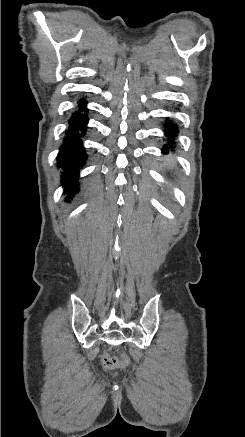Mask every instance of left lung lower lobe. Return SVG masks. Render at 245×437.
Segmentation results:
<instances>
[{"label":"left lung lower lobe","mask_w":245,"mask_h":437,"mask_svg":"<svg viewBox=\"0 0 245 437\" xmlns=\"http://www.w3.org/2000/svg\"><path fill=\"white\" fill-rule=\"evenodd\" d=\"M177 128L178 127L176 124L168 123L165 125V135L171 139L168 140V146L164 145V147L162 148V152L168 153L169 148L173 149L175 147L176 142L174 139H172V137L177 136L178 133Z\"/></svg>","instance_id":"0a47b994"}]
</instances>
